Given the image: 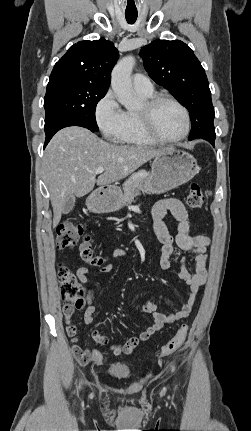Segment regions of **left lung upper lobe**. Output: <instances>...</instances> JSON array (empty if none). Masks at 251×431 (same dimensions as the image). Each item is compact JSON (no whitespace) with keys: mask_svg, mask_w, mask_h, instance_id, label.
Returning a JSON list of instances; mask_svg holds the SVG:
<instances>
[{"mask_svg":"<svg viewBox=\"0 0 251 431\" xmlns=\"http://www.w3.org/2000/svg\"><path fill=\"white\" fill-rule=\"evenodd\" d=\"M140 56L149 76L188 109L192 127L189 140L203 138L214 145L211 92L193 50L180 40H155L141 48Z\"/></svg>","mask_w":251,"mask_h":431,"instance_id":"left-lung-upper-lobe-1","label":"left lung upper lobe"}]
</instances>
